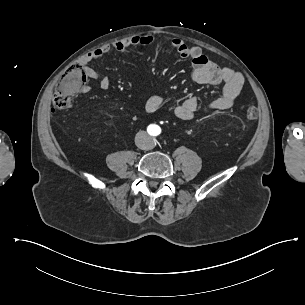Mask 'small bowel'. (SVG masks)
<instances>
[{
    "mask_svg": "<svg viewBox=\"0 0 305 305\" xmlns=\"http://www.w3.org/2000/svg\"><path fill=\"white\" fill-rule=\"evenodd\" d=\"M154 40L152 34L137 35L123 40L116 41L110 45H105L86 53L81 59V66L87 78L94 81L100 89L107 90L110 85V79L100 74L90 66V63L112 53H126L132 47L147 46ZM171 46L177 54L184 59H190L192 62L191 79L195 83L218 85L223 83V89L220 95L204 106V111L226 110L232 107L238 97L243 84L242 74L233 71L227 67H220L208 59L198 46L187 45L179 38L170 39ZM90 91L89 86H83L81 92L86 94ZM164 103L162 96L154 95L145 102V111L154 113L158 111ZM200 105L195 97L185 99L173 109L174 115L183 120L191 121L199 111Z\"/></svg>",
    "mask_w": 305,
    "mask_h": 305,
    "instance_id": "obj_1",
    "label": "small bowel"
}]
</instances>
